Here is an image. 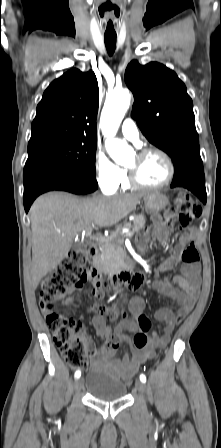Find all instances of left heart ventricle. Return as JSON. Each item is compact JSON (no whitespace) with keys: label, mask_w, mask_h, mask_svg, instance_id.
Masks as SVG:
<instances>
[{"label":"left heart ventricle","mask_w":221,"mask_h":448,"mask_svg":"<svg viewBox=\"0 0 221 448\" xmlns=\"http://www.w3.org/2000/svg\"><path fill=\"white\" fill-rule=\"evenodd\" d=\"M129 168L133 169L139 178L146 184L158 185L164 182L169 175V168L162 156L156 153L132 159Z\"/></svg>","instance_id":"left-heart-ventricle-1"}]
</instances>
